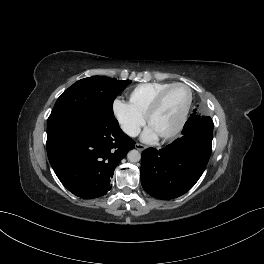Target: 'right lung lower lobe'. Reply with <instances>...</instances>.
I'll return each mask as SVG.
<instances>
[{
	"label": "right lung lower lobe",
	"mask_w": 264,
	"mask_h": 264,
	"mask_svg": "<svg viewBox=\"0 0 264 264\" xmlns=\"http://www.w3.org/2000/svg\"><path fill=\"white\" fill-rule=\"evenodd\" d=\"M135 142L115 118L85 115L47 133V154L62 184L74 195L93 199L111 189L117 164Z\"/></svg>",
	"instance_id": "right-lung-lower-lobe-1"
}]
</instances>
